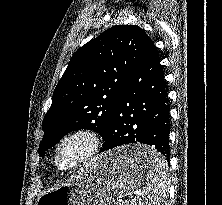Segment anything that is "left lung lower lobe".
Instances as JSON below:
<instances>
[{
	"mask_svg": "<svg viewBox=\"0 0 222 205\" xmlns=\"http://www.w3.org/2000/svg\"><path fill=\"white\" fill-rule=\"evenodd\" d=\"M170 105L160 58L151 39L118 98L101 152L129 143L154 146L169 159ZM150 157H139L149 164Z\"/></svg>",
	"mask_w": 222,
	"mask_h": 205,
	"instance_id": "1",
	"label": "left lung lower lobe"
}]
</instances>
